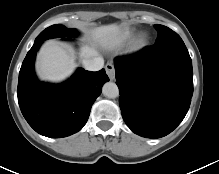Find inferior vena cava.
<instances>
[{
    "instance_id": "1",
    "label": "inferior vena cava",
    "mask_w": 219,
    "mask_h": 174,
    "mask_svg": "<svg viewBox=\"0 0 219 174\" xmlns=\"http://www.w3.org/2000/svg\"><path fill=\"white\" fill-rule=\"evenodd\" d=\"M83 66L89 71H99L104 66V60L102 57H95L83 60Z\"/></svg>"
}]
</instances>
